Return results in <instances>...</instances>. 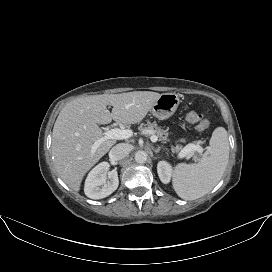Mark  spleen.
<instances>
[{"label": "spleen", "instance_id": "3e777b00", "mask_svg": "<svg viewBox=\"0 0 272 272\" xmlns=\"http://www.w3.org/2000/svg\"><path fill=\"white\" fill-rule=\"evenodd\" d=\"M229 159L228 134L217 127L210 138L209 147L197 164L179 163L173 172V188L184 200L198 199L210 192L220 181Z\"/></svg>", "mask_w": 272, "mask_h": 272}]
</instances>
